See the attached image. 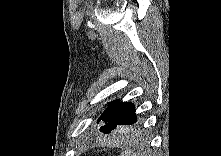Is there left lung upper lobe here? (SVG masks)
Segmentation results:
<instances>
[{"mask_svg": "<svg viewBox=\"0 0 221 156\" xmlns=\"http://www.w3.org/2000/svg\"><path fill=\"white\" fill-rule=\"evenodd\" d=\"M103 121L100 127L103 133H110L120 125H132L137 122L135 107L132 103L121 102L119 100L111 102L102 113L97 122Z\"/></svg>", "mask_w": 221, "mask_h": 156, "instance_id": "left-lung-upper-lobe-1", "label": "left lung upper lobe"}]
</instances>
